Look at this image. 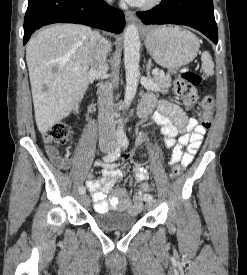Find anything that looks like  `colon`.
Segmentation results:
<instances>
[{
	"label": "colon",
	"mask_w": 247,
	"mask_h": 275,
	"mask_svg": "<svg viewBox=\"0 0 247 275\" xmlns=\"http://www.w3.org/2000/svg\"><path fill=\"white\" fill-rule=\"evenodd\" d=\"M201 83V76L191 70H184L175 82V92L180 97L187 108L192 107L199 99L197 87ZM214 112V98L211 95L203 97L201 101L200 122L205 129L210 128ZM71 129L66 125H56L48 130L44 135V141L48 144L62 145L69 141ZM182 172V165H175L171 172L170 178L176 179ZM138 191L145 194L153 191V185L144 182Z\"/></svg>",
	"instance_id": "obj_1"
}]
</instances>
